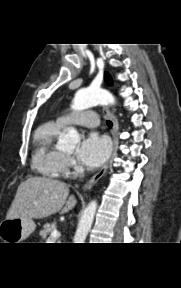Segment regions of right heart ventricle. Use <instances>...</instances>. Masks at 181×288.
<instances>
[{"label":"right heart ventricle","mask_w":181,"mask_h":288,"mask_svg":"<svg viewBox=\"0 0 181 288\" xmlns=\"http://www.w3.org/2000/svg\"><path fill=\"white\" fill-rule=\"evenodd\" d=\"M63 127L59 122H48L35 133L33 167L45 176L59 177L65 168L66 155L57 145Z\"/></svg>","instance_id":"1"}]
</instances>
